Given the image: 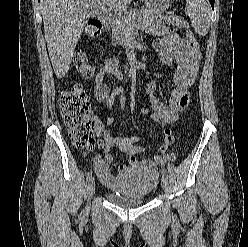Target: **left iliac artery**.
<instances>
[{
  "instance_id": "44dca946",
  "label": "left iliac artery",
  "mask_w": 248,
  "mask_h": 247,
  "mask_svg": "<svg viewBox=\"0 0 248 247\" xmlns=\"http://www.w3.org/2000/svg\"><path fill=\"white\" fill-rule=\"evenodd\" d=\"M163 175L168 177V173L166 172V170H163Z\"/></svg>"
}]
</instances>
